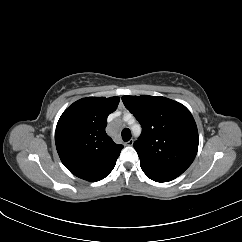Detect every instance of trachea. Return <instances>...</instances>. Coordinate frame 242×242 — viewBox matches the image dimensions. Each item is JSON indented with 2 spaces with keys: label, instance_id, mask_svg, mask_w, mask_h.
I'll return each instance as SVG.
<instances>
[{
  "label": "trachea",
  "instance_id": "obj_1",
  "mask_svg": "<svg viewBox=\"0 0 242 242\" xmlns=\"http://www.w3.org/2000/svg\"><path fill=\"white\" fill-rule=\"evenodd\" d=\"M121 135H122L123 141H125V142H127V141H129L131 139V132H130V130L128 128H124L122 130Z\"/></svg>",
  "mask_w": 242,
  "mask_h": 242
}]
</instances>
